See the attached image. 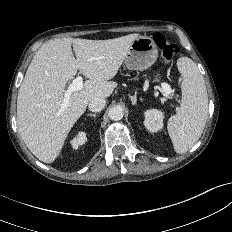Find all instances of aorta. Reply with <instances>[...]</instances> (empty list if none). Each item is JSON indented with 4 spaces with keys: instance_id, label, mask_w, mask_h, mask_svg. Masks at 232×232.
<instances>
[{
    "instance_id": "1",
    "label": "aorta",
    "mask_w": 232,
    "mask_h": 232,
    "mask_svg": "<svg viewBox=\"0 0 232 232\" xmlns=\"http://www.w3.org/2000/svg\"><path fill=\"white\" fill-rule=\"evenodd\" d=\"M108 116L113 121H119L124 116V110L119 105H114L109 109Z\"/></svg>"
}]
</instances>
